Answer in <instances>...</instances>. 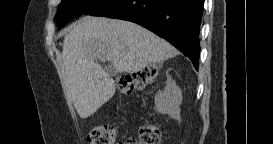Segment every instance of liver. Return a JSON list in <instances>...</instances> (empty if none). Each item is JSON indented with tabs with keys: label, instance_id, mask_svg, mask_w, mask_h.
<instances>
[{
	"label": "liver",
	"instance_id": "1",
	"mask_svg": "<svg viewBox=\"0 0 273 144\" xmlns=\"http://www.w3.org/2000/svg\"><path fill=\"white\" fill-rule=\"evenodd\" d=\"M166 40L135 23L86 16L64 37L62 60L66 87L82 118L93 115L115 93V83L98 61L116 72L135 73L175 57Z\"/></svg>",
	"mask_w": 273,
	"mask_h": 144
}]
</instances>
